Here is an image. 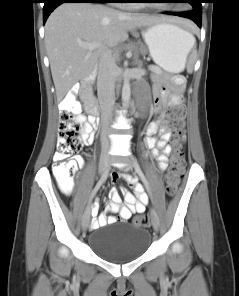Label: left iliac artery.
I'll use <instances>...</instances> for the list:
<instances>
[{
	"instance_id": "44dca946",
	"label": "left iliac artery",
	"mask_w": 239,
	"mask_h": 296,
	"mask_svg": "<svg viewBox=\"0 0 239 296\" xmlns=\"http://www.w3.org/2000/svg\"><path fill=\"white\" fill-rule=\"evenodd\" d=\"M133 165H134V168H135V170H136V172L139 174V176L141 177V179H142V181H143V185H146V192L148 193L150 190H149V188H150V185L149 184H147V180H146V176H144V174L142 173V171H141V169H140V166H139V164H138V162L135 160V159H133ZM145 193V192H144ZM152 194L149 192L148 193V196L150 197ZM147 196V197H148ZM154 198L151 196L150 197V200L152 201ZM148 203V202H147Z\"/></svg>"
}]
</instances>
